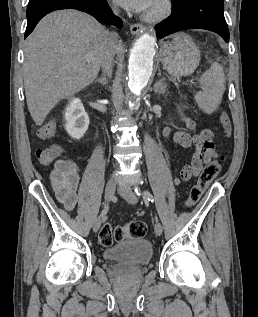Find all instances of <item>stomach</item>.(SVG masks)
Wrapping results in <instances>:
<instances>
[{"mask_svg":"<svg viewBox=\"0 0 258 317\" xmlns=\"http://www.w3.org/2000/svg\"><path fill=\"white\" fill-rule=\"evenodd\" d=\"M160 60L172 76H189L197 68L201 54L191 36L179 32L171 42H161Z\"/></svg>","mask_w":258,"mask_h":317,"instance_id":"obj_1","label":"stomach"}]
</instances>
